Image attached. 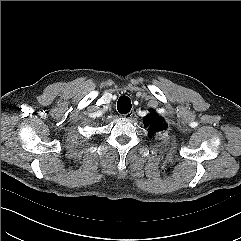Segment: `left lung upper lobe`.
I'll list each match as a JSON object with an SVG mask.
<instances>
[{"label": "left lung upper lobe", "instance_id": "5c2ea615", "mask_svg": "<svg viewBox=\"0 0 241 241\" xmlns=\"http://www.w3.org/2000/svg\"><path fill=\"white\" fill-rule=\"evenodd\" d=\"M145 125L146 127H149L150 136H153L156 132L162 131L166 128L164 120L153 112L147 118L145 117Z\"/></svg>", "mask_w": 241, "mask_h": 241}]
</instances>
